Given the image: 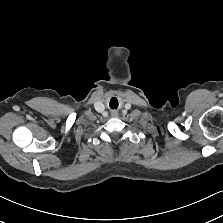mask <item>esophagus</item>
Returning a JSON list of instances; mask_svg holds the SVG:
<instances>
[{"mask_svg":"<svg viewBox=\"0 0 223 223\" xmlns=\"http://www.w3.org/2000/svg\"><path fill=\"white\" fill-rule=\"evenodd\" d=\"M111 115H112L113 117L117 116V115H118V111H117V110H113V111L111 112Z\"/></svg>","mask_w":223,"mask_h":223,"instance_id":"obj_1","label":"esophagus"}]
</instances>
